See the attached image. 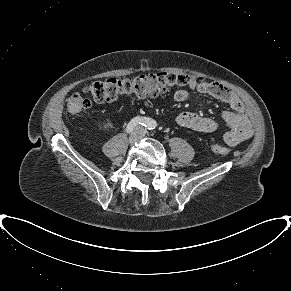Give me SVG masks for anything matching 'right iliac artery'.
I'll list each match as a JSON object with an SVG mask.
<instances>
[{"instance_id": "1", "label": "right iliac artery", "mask_w": 291, "mask_h": 291, "mask_svg": "<svg viewBox=\"0 0 291 291\" xmlns=\"http://www.w3.org/2000/svg\"><path fill=\"white\" fill-rule=\"evenodd\" d=\"M150 122V119L149 118H146V117H135L133 118L127 125V128H126V131L127 133H130L133 131V129L138 125H143V126H147L148 123Z\"/></svg>"}]
</instances>
